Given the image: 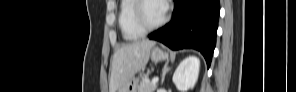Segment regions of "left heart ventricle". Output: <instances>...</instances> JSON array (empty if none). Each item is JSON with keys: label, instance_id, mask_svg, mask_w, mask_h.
Segmentation results:
<instances>
[{"label": "left heart ventricle", "instance_id": "obj_1", "mask_svg": "<svg viewBox=\"0 0 296 92\" xmlns=\"http://www.w3.org/2000/svg\"><path fill=\"white\" fill-rule=\"evenodd\" d=\"M144 18L148 24H155L164 15L162 4L158 1H148L144 6Z\"/></svg>", "mask_w": 296, "mask_h": 92}]
</instances>
